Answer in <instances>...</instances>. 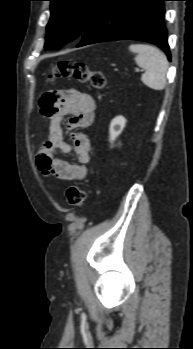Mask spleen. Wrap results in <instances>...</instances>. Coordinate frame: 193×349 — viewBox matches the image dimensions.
<instances>
[{"instance_id":"1","label":"spleen","mask_w":193,"mask_h":349,"mask_svg":"<svg viewBox=\"0 0 193 349\" xmlns=\"http://www.w3.org/2000/svg\"><path fill=\"white\" fill-rule=\"evenodd\" d=\"M129 50L136 53V63L145 70L141 81L153 90H163L166 86L168 60L158 48L147 44H132Z\"/></svg>"}]
</instances>
